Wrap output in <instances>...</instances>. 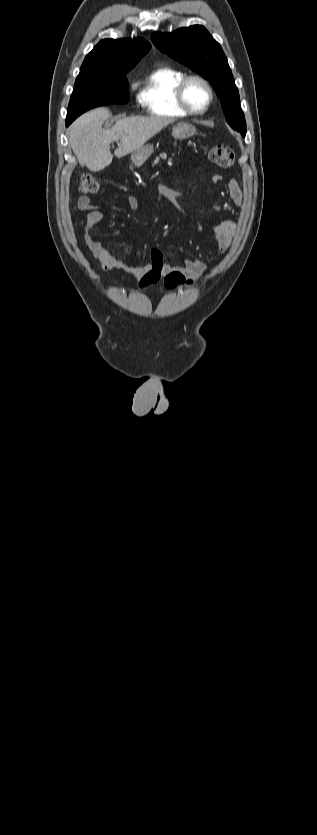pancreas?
Returning <instances> with one entry per match:
<instances>
[{"label":"pancreas","mask_w":317,"mask_h":835,"mask_svg":"<svg viewBox=\"0 0 317 835\" xmlns=\"http://www.w3.org/2000/svg\"><path fill=\"white\" fill-rule=\"evenodd\" d=\"M160 157H161L162 159H166V158H167V155H166V154H161L159 157H157V158L154 160V165H156V164L159 162Z\"/></svg>","instance_id":"cf45deb5"}]
</instances>
